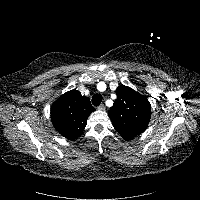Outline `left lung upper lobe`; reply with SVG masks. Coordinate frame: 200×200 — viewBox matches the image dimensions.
I'll return each instance as SVG.
<instances>
[{
  "mask_svg": "<svg viewBox=\"0 0 200 200\" xmlns=\"http://www.w3.org/2000/svg\"><path fill=\"white\" fill-rule=\"evenodd\" d=\"M116 95L109 117L118 133L125 140H130L146 130L151 116L150 103L144 96L124 85L116 89Z\"/></svg>",
  "mask_w": 200,
  "mask_h": 200,
  "instance_id": "obj_1",
  "label": "left lung upper lobe"
}]
</instances>
